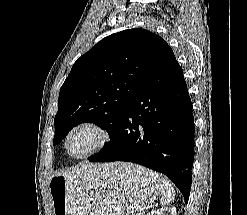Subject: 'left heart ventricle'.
Segmentation results:
<instances>
[{"label": "left heart ventricle", "mask_w": 247, "mask_h": 215, "mask_svg": "<svg viewBox=\"0 0 247 215\" xmlns=\"http://www.w3.org/2000/svg\"><path fill=\"white\" fill-rule=\"evenodd\" d=\"M96 141V134L90 129L76 131L69 140V150L74 155H82L89 151Z\"/></svg>", "instance_id": "obj_1"}]
</instances>
